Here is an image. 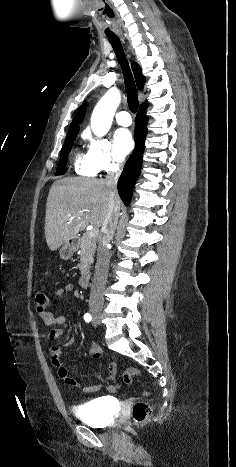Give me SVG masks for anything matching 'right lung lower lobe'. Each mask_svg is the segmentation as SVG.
Here are the masks:
<instances>
[{
  "mask_svg": "<svg viewBox=\"0 0 236 467\" xmlns=\"http://www.w3.org/2000/svg\"><path fill=\"white\" fill-rule=\"evenodd\" d=\"M148 104L140 106L135 118V150L127 160L123 172L118 180V193L123 203L128 206L133 193L134 184L140 174L142 166V156L145 148V137L148 132L146 109Z\"/></svg>",
  "mask_w": 236,
  "mask_h": 467,
  "instance_id": "obj_1",
  "label": "right lung lower lobe"
}]
</instances>
